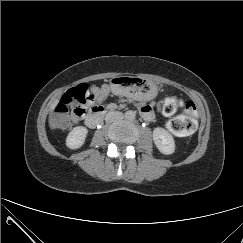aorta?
Listing matches in <instances>:
<instances>
[{
    "label": "aorta",
    "instance_id": "aorta-1",
    "mask_svg": "<svg viewBox=\"0 0 243 243\" xmlns=\"http://www.w3.org/2000/svg\"><path fill=\"white\" fill-rule=\"evenodd\" d=\"M135 116H136V112L135 111L128 110V111L125 112V118L127 120H134Z\"/></svg>",
    "mask_w": 243,
    "mask_h": 243
}]
</instances>
